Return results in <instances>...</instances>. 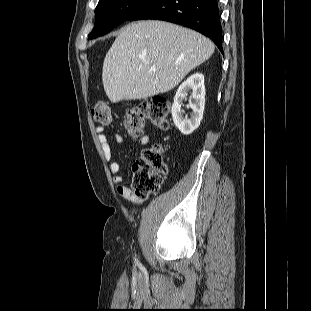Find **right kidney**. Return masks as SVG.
I'll return each mask as SVG.
<instances>
[{"label":"right kidney","instance_id":"obj_1","mask_svg":"<svg viewBox=\"0 0 311 311\" xmlns=\"http://www.w3.org/2000/svg\"><path fill=\"white\" fill-rule=\"evenodd\" d=\"M189 91H192V100L189 101V107L193 111L190 119L183 117L181 109L183 100L187 97ZM204 106V76L201 73H194L179 86L171 109L174 124L183 135H189L199 127L203 118Z\"/></svg>","mask_w":311,"mask_h":311}]
</instances>
